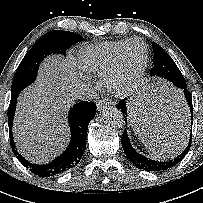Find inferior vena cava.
Returning <instances> with one entry per match:
<instances>
[{
    "label": "inferior vena cava",
    "mask_w": 203,
    "mask_h": 203,
    "mask_svg": "<svg viewBox=\"0 0 203 203\" xmlns=\"http://www.w3.org/2000/svg\"><path fill=\"white\" fill-rule=\"evenodd\" d=\"M74 99L78 100H90L92 99V90L84 84H77L72 92Z\"/></svg>",
    "instance_id": "inferior-vena-cava-1"
}]
</instances>
